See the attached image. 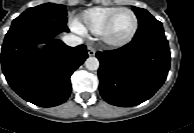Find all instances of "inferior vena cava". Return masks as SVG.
Returning a JSON list of instances; mask_svg holds the SVG:
<instances>
[{"label": "inferior vena cava", "mask_w": 194, "mask_h": 133, "mask_svg": "<svg viewBox=\"0 0 194 133\" xmlns=\"http://www.w3.org/2000/svg\"><path fill=\"white\" fill-rule=\"evenodd\" d=\"M63 42L68 46L75 47L82 44L83 40L76 35L67 34L63 37Z\"/></svg>", "instance_id": "1"}]
</instances>
